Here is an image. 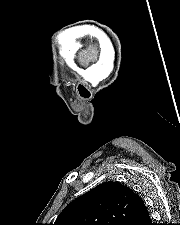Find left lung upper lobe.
<instances>
[{
    "label": "left lung upper lobe",
    "mask_w": 180,
    "mask_h": 225,
    "mask_svg": "<svg viewBox=\"0 0 180 225\" xmlns=\"http://www.w3.org/2000/svg\"><path fill=\"white\" fill-rule=\"evenodd\" d=\"M146 210L129 187L105 182L72 201L54 225H128Z\"/></svg>",
    "instance_id": "obj_1"
}]
</instances>
